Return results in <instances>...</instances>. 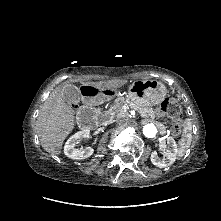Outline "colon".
<instances>
[{"label": "colon", "instance_id": "5ec220e1", "mask_svg": "<svg viewBox=\"0 0 221 221\" xmlns=\"http://www.w3.org/2000/svg\"><path fill=\"white\" fill-rule=\"evenodd\" d=\"M158 113L173 119L171 129L174 135H179L181 133L183 113L176 99L166 98L163 100V102L158 107Z\"/></svg>", "mask_w": 221, "mask_h": 221}]
</instances>
